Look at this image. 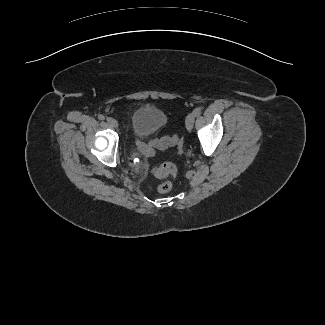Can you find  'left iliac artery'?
Masks as SVG:
<instances>
[{
    "mask_svg": "<svg viewBox=\"0 0 325 325\" xmlns=\"http://www.w3.org/2000/svg\"><path fill=\"white\" fill-rule=\"evenodd\" d=\"M194 114H195V116H199L201 114V109L200 108H195L194 109Z\"/></svg>",
    "mask_w": 325,
    "mask_h": 325,
    "instance_id": "obj_1",
    "label": "left iliac artery"
}]
</instances>
